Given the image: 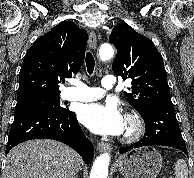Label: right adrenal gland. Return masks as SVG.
<instances>
[{
	"instance_id": "2a0ac1e0",
	"label": "right adrenal gland",
	"mask_w": 194,
	"mask_h": 178,
	"mask_svg": "<svg viewBox=\"0 0 194 178\" xmlns=\"http://www.w3.org/2000/svg\"><path fill=\"white\" fill-rule=\"evenodd\" d=\"M73 178H78V175H75Z\"/></svg>"
}]
</instances>
